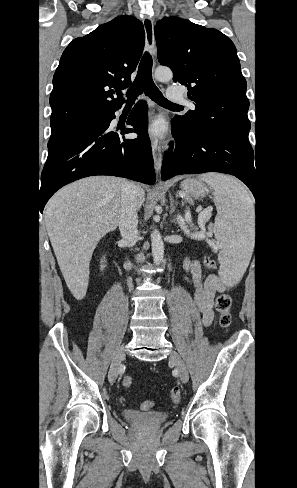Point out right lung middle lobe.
<instances>
[{
	"mask_svg": "<svg viewBox=\"0 0 297 488\" xmlns=\"http://www.w3.org/2000/svg\"><path fill=\"white\" fill-rule=\"evenodd\" d=\"M101 120L102 119L94 120V121H88V122H85V123L76 125L74 127H71V128H68V129H65V130H62V131H59V132L51 133L50 140L48 142V148L51 147V145L54 144L59 139L65 137L66 135H68V134H70V133H72V132H74L76 130H79V129H82V128H85V127H88V126L95 125L98 122H100Z\"/></svg>",
	"mask_w": 297,
	"mask_h": 488,
	"instance_id": "obj_1",
	"label": "right lung middle lobe"
}]
</instances>
